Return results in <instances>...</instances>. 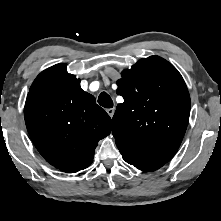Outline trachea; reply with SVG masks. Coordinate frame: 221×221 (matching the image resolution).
Segmentation results:
<instances>
[{
  "mask_svg": "<svg viewBox=\"0 0 221 221\" xmlns=\"http://www.w3.org/2000/svg\"><path fill=\"white\" fill-rule=\"evenodd\" d=\"M98 103L104 108H112L113 101L111 97L106 93L102 92L98 97Z\"/></svg>",
  "mask_w": 221,
  "mask_h": 221,
  "instance_id": "trachea-1",
  "label": "trachea"
}]
</instances>
